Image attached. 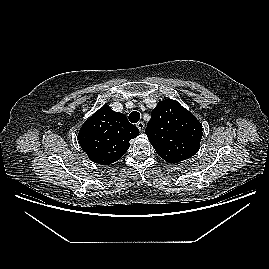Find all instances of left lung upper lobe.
Segmentation results:
<instances>
[{
    "label": "left lung upper lobe",
    "instance_id": "5c2ea615",
    "mask_svg": "<svg viewBox=\"0 0 269 269\" xmlns=\"http://www.w3.org/2000/svg\"><path fill=\"white\" fill-rule=\"evenodd\" d=\"M145 133L157 154L168 163L194 156L202 139V125L177 101L166 99L151 113Z\"/></svg>",
    "mask_w": 269,
    "mask_h": 269
}]
</instances>
